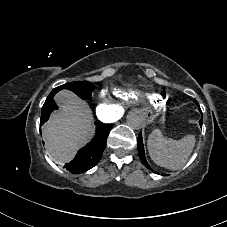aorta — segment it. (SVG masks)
I'll return each instance as SVG.
<instances>
[{
	"label": "aorta",
	"mask_w": 227,
	"mask_h": 227,
	"mask_svg": "<svg viewBox=\"0 0 227 227\" xmlns=\"http://www.w3.org/2000/svg\"><path fill=\"white\" fill-rule=\"evenodd\" d=\"M127 123L133 129H141L146 124V114L141 110H132L127 115Z\"/></svg>",
	"instance_id": "obj_1"
}]
</instances>
